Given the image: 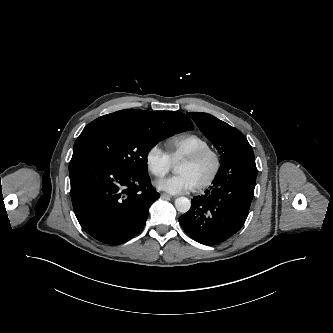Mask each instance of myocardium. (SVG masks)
Wrapping results in <instances>:
<instances>
[{
	"mask_svg": "<svg viewBox=\"0 0 333 333\" xmlns=\"http://www.w3.org/2000/svg\"><path fill=\"white\" fill-rule=\"evenodd\" d=\"M205 158H210L212 160V169L208 177L196 186V190L198 191H202L208 188L215 181L221 168V160L219 155L210 148H204L185 156L181 160L188 163H196Z\"/></svg>",
	"mask_w": 333,
	"mask_h": 333,
	"instance_id": "1",
	"label": "myocardium"
}]
</instances>
